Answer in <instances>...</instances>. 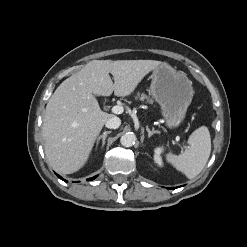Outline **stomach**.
<instances>
[{
  "label": "stomach",
  "instance_id": "0dacf381",
  "mask_svg": "<svg viewBox=\"0 0 247 247\" xmlns=\"http://www.w3.org/2000/svg\"><path fill=\"white\" fill-rule=\"evenodd\" d=\"M151 77L150 91L161 107L167 126L178 127L183 122L194 95L190 79L167 63L157 66Z\"/></svg>",
  "mask_w": 247,
  "mask_h": 247
}]
</instances>
